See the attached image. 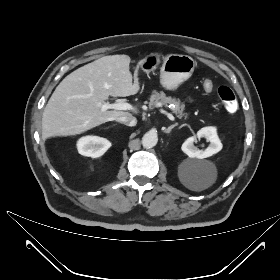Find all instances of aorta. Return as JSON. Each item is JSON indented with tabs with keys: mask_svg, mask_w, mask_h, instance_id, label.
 Instances as JSON below:
<instances>
[{
	"mask_svg": "<svg viewBox=\"0 0 280 280\" xmlns=\"http://www.w3.org/2000/svg\"><path fill=\"white\" fill-rule=\"evenodd\" d=\"M158 142V136L155 132H147L142 137V145L144 148H152Z\"/></svg>",
	"mask_w": 280,
	"mask_h": 280,
	"instance_id": "762f6f07",
	"label": "aorta"
}]
</instances>
